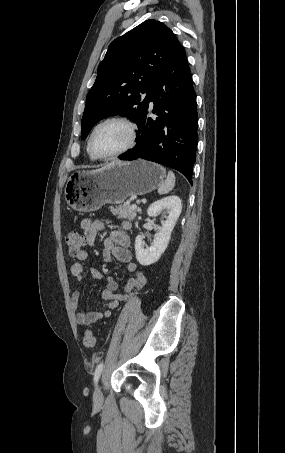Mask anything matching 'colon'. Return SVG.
Returning <instances> with one entry per match:
<instances>
[{
    "label": "colon",
    "mask_w": 285,
    "mask_h": 453,
    "mask_svg": "<svg viewBox=\"0 0 285 453\" xmlns=\"http://www.w3.org/2000/svg\"><path fill=\"white\" fill-rule=\"evenodd\" d=\"M65 242L68 246L70 256L77 257L86 245L85 238L77 231L69 232L65 237ZM94 333L87 329L83 334V344L87 348H92L95 345Z\"/></svg>",
    "instance_id": "1"
}]
</instances>
